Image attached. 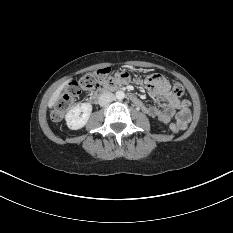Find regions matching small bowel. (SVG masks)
I'll use <instances>...</instances> for the list:
<instances>
[{"instance_id":"c3829d8e","label":"small bowel","mask_w":233,"mask_h":233,"mask_svg":"<svg viewBox=\"0 0 233 233\" xmlns=\"http://www.w3.org/2000/svg\"><path fill=\"white\" fill-rule=\"evenodd\" d=\"M113 79L116 82L115 86L126 82L133 84L136 76L127 69H122L114 74ZM146 85L161 109L145 105L142 101L138 106L150 117L157 118L163 123L175 120L180 129H185L191 119L190 103L174 96L170 91L169 83L161 75L149 76L146 79Z\"/></svg>"}]
</instances>
